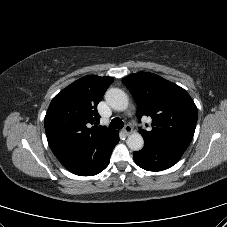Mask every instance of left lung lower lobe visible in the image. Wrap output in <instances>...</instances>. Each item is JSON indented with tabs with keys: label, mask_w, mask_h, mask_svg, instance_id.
I'll return each instance as SVG.
<instances>
[{
	"label": "left lung lower lobe",
	"mask_w": 227,
	"mask_h": 227,
	"mask_svg": "<svg viewBox=\"0 0 227 227\" xmlns=\"http://www.w3.org/2000/svg\"><path fill=\"white\" fill-rule=\"evenodd\" d=\"M144 141L143 149L134 152V160L138 166L148 171H161L172 167L185 151L165 143Z\"/></svg>",
	"instance_id": "obj_1"
}]
</instances>
